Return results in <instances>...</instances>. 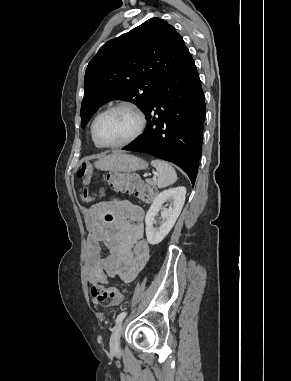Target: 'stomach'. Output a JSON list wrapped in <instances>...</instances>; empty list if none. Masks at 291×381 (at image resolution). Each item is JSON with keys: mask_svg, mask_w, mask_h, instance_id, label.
Instances as JSON below:
<instances>
[{"mask_svg": "<svg viewBox=\"0 0 291 381\" xmlns=\"http://www.w3.org/2000/svg\"><path fill=\"white\" fill-rule=\"evenodd\" d=\"M95 167L103 171H116L129 173L147 168L148 164L143 159L120 152L102 156L95 162Z\"/></svg>", "mask_w": 291, "mask_h": 381, "instance_id": "stomach-1", "label": "stomach"}]
</instances>
